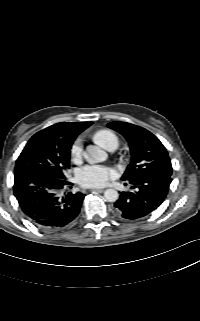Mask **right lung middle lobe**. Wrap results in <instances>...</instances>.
<instances>
[{
  "label": "right lung middle lobe",
  "mask_w": 200,
  "mask_h": 321,
  "mask_svg": "<svg viewBox=\"0 0 200 321\" xmlns=\"http://www.w3.org/2000/svg\"><path fill=\"white\" fill-rule=\"evenodd\" d=\"M69 143L58 142L46 129L31 137L16 161L15 174L32 170L44 171L56 179L66 180L70 167Z\"/></svg>",
  "instance_id": "obj_1"
}]
</instances>
